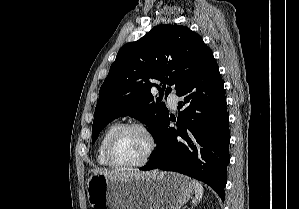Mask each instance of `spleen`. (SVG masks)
<instances>
[{
	"instance_id": "3e777b00",
	"label": "spleen",
	"mask_w": 299,
	"mask_h": 209,
	"mask_svg": "<svg viewBox=\"0 0 299 209\" xmlns=\"http://www.w3.org/2000/svg\"><path fill=\"white\" fill-rule=\"evenodd\" d=\"M192 183L195 191V198L193 199L192 203L193 205H196L198 202H200L203 196L204 189L200 182L193 180Z\"/></svg>"
}]
</instances>
